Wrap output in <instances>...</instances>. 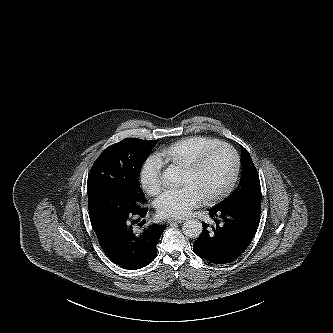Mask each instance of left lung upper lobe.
<instances>
[{"instance_id": "left-lung-upper-lobe-1", "label": "left lung upper lobe", "mask_w": 333, "mask_h": 333, "mask_svg": "<svg viewBox=\"0 0 333 333\" xmlns=\"http://www.w3.org/2000/svg\"><path fill=\"white\" fill-rule=\"evenodd\" d=\"M242 176L236 190L217 207H235L251 202L261 201V186L257 170L249 152L242 148Z\"/></svg>"}]
</instances>
